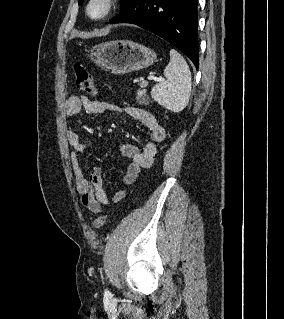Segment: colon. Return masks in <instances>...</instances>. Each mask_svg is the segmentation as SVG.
I'll use <instances>...</instances> for the list:
<instances>
[{
  "label": "colon",
  "mask_w": 284,
  "mask_h": 319,
  "mask_svg": "<svg viewBox=\"0 0 284 319\" xmlns=\"http://www.w3.org/2000/svg\"><path fill=\"white\" fill-rule=\"evenodd\" d=\"M74 71L77 88L86 94L95 95L97 93L96 82L87 71L86 67L82 63H75ZM108 218V215H102L98 217L94 220L93 227H102L107 222Z\"/></svg>",
  "instance_id": "1"
}]
</instances>
